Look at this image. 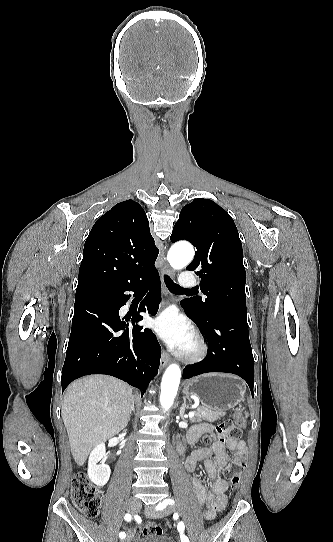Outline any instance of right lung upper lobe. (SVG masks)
<instances>
[{"instance_id":"cb5924a9","label":"right lung upper lobe","mask_w":333,"mask_h":542,"mask_svg":"<svg viewBox=\"0 0 333 542\" xmlns=\"http://www.w3.org/2000/svg\"><path fill=\"white\" fill-rule=\"evenodd\" d=\"M91 248L111 251L114 261L105 267H80L77 288L128 285L138 277L141 263L156 260L159 253L147 216L133 200L116 204L96 221L84 250Z\"/></svg>"}]
</instances>
